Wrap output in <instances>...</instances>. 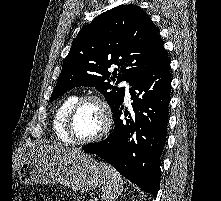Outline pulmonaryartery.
<instances>
[{"instance_id": "1", "label": "pulmonary artery", "mask_w": 221, "mask_h": 201, "mask_svg": "<svg viewBox=\"0 0 221 201\" xmlns=\"http://www.w3.org/2000/svg\"><path fill=\"white\" fill-rule=\"evenodd\" d=\"M121 86L125 87V96H126V99H129L130 98V93H129L130 86H129V84L126 81H122Z\"/></svg>"}]
</instances>
